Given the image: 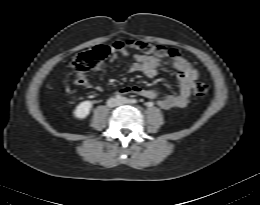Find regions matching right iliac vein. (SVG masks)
<instances>
[{"mask_svg": "<svg viewBox=\"0 0 260 205\" xmlns=\"http://www.w3.org/2000/svg\"><path fill=\"white\" fill-rule=\"evenodd\" d=\"M107 104L109 107H115L118 105V100L116 98H110Z\"/></svg>", "mask_w": 260, "mask_h": 205, "instance_id": "63e3f726", "label": "right iliac vein"}]
</instances>
